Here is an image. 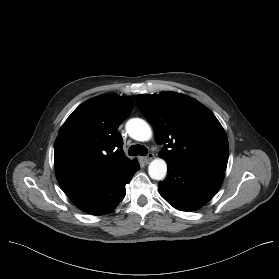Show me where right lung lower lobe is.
<instances>
[{"label":"right lung lower lobe","mask_w":279,"mask_h":279,"mask_svg":"<svg viewBox=\"0 0 279 279\" xmlns=\"http://www.w3.org/2000/svg\"><path fill=\"white\" fill-rule=\"evenodd\" d=\"M139 169L138 162L94 189L69 196L70 200L82 211L92 215L107 214L115 209L125 196V185Z\"/></svg>","instance_id":"98d812e1"}]
</instances>
